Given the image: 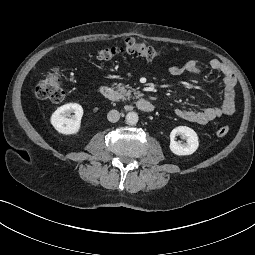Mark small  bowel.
<instances>
[{
	"mask_svg": "<svg viewBox=\"0 0 255 255\" xmlns=\"http://www.w3.org/2000/svg\"><path fill=\"white\" fill-rule=\"evenodd\" d=\"M209 65L211 69L220 72L223 76L224 93L221 104L219 106L206 107L202 110L176 109L175 114L177 117L189 122L204 125L234 113L235 88L237 84L235 74L219 59H212ZM169 73L174 76H179L184 73L200 76L202 75V69L197 60L190 59L183 64L172 65L169 68Z\"/></svg>",
	"mask_w": 255,
	"mask_h": 255,
	"instance_id": "obj_1",
	"label": "small bowel"
}]
</instances>
